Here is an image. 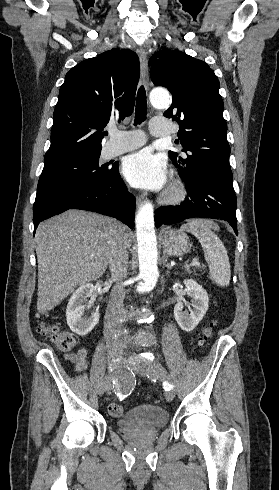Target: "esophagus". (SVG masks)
Listing matches in <instances>:
<instances>
[{
	"mask_svg": "<svg viewBox=\"0 0 279 490\" xmlns=\"http://www.w3.org/2000/svg\"><path fill=\"white\" fill-rule=\"evenodd\" d=\"M137 54L139 57L140 61V70H141V75H142V81L144 84V87L146 90L149 89V75H148V59H147V52L144 50V48L140 47L137 50ZM145 199L143 197H137L136 198V204L137 206H141L144 203Z\"/></svg>",
	"mask_w": 279,
	"mask_h": 490,
	"instance_id": "esophagus-1",
	"label": "esophagus"
}]
</instances>
